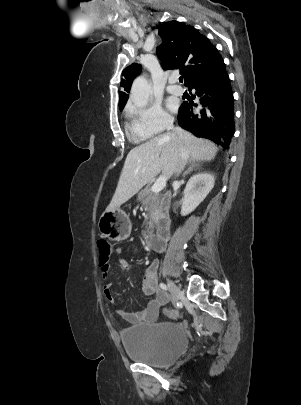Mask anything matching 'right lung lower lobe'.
<instances>
[{
    "label": "right lung lower lobe",
    "mask_w": 301,
    "mask_h": 405,
    "mask_svg": "<svg viewBox=\"0 0 301 405\" xmlns=\"http://www.w3.org/2000/svg\"><path fill=\"white\" fill-rule=\"evenodd\" d=\"M188 88L196 90L201 105L193 113L192 106L184 103L177 116L179 125L228 148L235 132L234 99L223 60L212 72L192 81Z\"/></svg>",
    "instance_id": "1"
}]
</instances>
